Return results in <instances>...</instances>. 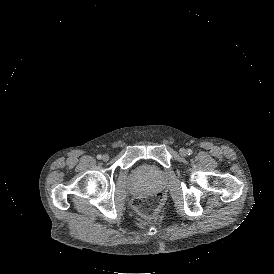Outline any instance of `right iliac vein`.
I'll use <instances>...</instances> for the list:
<instances>
[{
  "label": "right iliac vein",
  "mask_w": 274,
  "mask_h": 274,
  "mask_svg": "<svg viewBox=\"0 0 274 274\" xmlns=\"http://www.w3.org/2000/svg\"><path fill=\"white\" fill-rule=\"evenodd\" d=\"M102 160L105 161V162H107V161L109 160V155L104 154V155L102 156Z\"/></svg>",
  "instance_id": "63e3f726"
}]
</instances>
